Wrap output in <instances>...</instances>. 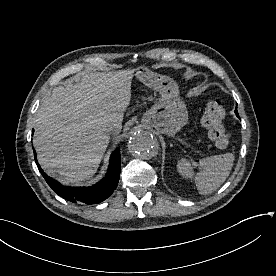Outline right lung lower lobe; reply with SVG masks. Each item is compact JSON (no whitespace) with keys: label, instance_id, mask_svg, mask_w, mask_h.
Wrapping results in <instances>:
<instances>
[{"label":"right lung lower lobe","instance_id":"98d812e1","mask_svg":"<svg viewBox=\"0 0 276 276\" xmlns=\"http://www.w3.org/2000/svg\"><path fill=\"white\" fill-rule=\"evenodd\" d=\"M34 130L32 131V133ZM34 156H35V161L36 164L48 183V185L62 198L73 202V203H78V202H84L86 204H95V203H100L106 198H108L113 191L116 189L118 185V180L120 177V165H121V160H120V152L119 150H116L112 153L111 158H110V165L108 168V172L100 182L97 184L91 186V187H65L61 185L59 182L56 180L52 179L49 177L47 174L43 172L41 167L39 166L37 159H36V153L34 150Z\"/></svg>","mask_w":276,"mask_h":276}]
</instances>
